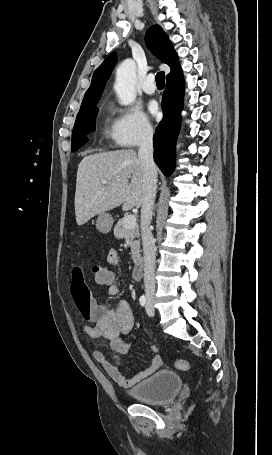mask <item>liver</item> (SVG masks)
<instances>
[{"instance_id":"obj_1","label":"liver","mask_w":272,"mask_h":455,"mask_svg":"<svg viewBox=\"0 0 272 455\" xmlns=\"http://www.w3.org/2000/svg\"><path fill=\"white\" fill-rule=\"evenodd\" d=\"M102 180H107L108 184L104 185ZM143 198V172L135 150L96 153L85 156L80 162L75 192V215L79 226L121 204L123 210L139 208Z\"/></svg>"}]
</instances>
